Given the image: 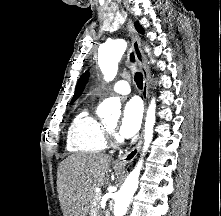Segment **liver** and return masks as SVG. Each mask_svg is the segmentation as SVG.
Segmentation results:
<instances>
[{
  "label": "liver",
  "instance_id": "1",
  "mask_svg": "<svg viewBox=\"0 0 221 216\" xmlns=\"http://www.w3.org/2000/svg\"><path fill=\"white\" fill-rule=\"evenodd\" d=\"M111 157L78 153L59 166L57 190L63 216H87L95 189L109 180Z\"/></svg>",
  "mask_w": 221,
  "mask_h": 216
}]
</instances>
